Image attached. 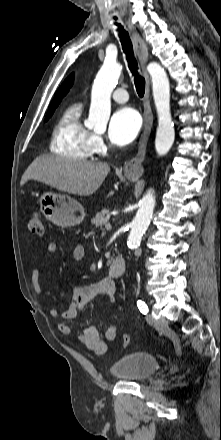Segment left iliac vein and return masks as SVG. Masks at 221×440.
I'll use <instances>...</instances> for the list:
<instances>
[{
    "instance_id": "left-iliac-vein-1",
    "label": "left iliac vein",
    "mask_w": 221,
    "mask_h": 440,
    "mask_svg": "<svg viewBox=\"0 0 221 440\" xmlns=\"http://www.w3.org/2000/svg\"><path fill=\"white\" fill-rule=\"evenodd\" d=\"M147 321L158 328H166L167 327V320L164 317L154 318L151 315H147L146 317Z\"/></svg>"
}]
</instances>
